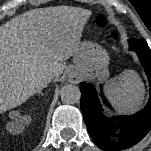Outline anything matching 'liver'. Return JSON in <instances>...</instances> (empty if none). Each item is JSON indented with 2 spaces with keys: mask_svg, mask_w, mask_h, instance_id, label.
Segmentation results:
<instances>
[{
  "mask_svg": "<svg viewBox=\"0 0 151 151\" xmlns=\"http://www.w3.org/2000/svg\"><path fill=\"white\" fill-rule=\"evenodd\" d=\"M90 16V10L78 7H48L25 12L0 27V114L63 72V61L79 49Z\"/></svg>",
  "mask_w": 151,
  "mask_h": 151,
  "instance_id": "obj_1",
  "label": "liver"
}]
</instances>
